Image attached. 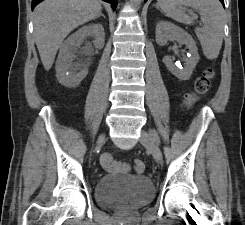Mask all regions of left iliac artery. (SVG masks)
I'll use <instances>...</instances> for the list:
<instances>
[{"mask_svg": "<svg viewBox=\"0 0 245 225\" xmlns=\"http://www.w3.org/2000/svg\"><path fill=\"white\" fill-rule=\"evenodd\" d=\"M155 141H157V142H158L157 138H155Z\"/></svg>", "mask_w": 245, "mask_h": 225, "instance_id": "left-iliac-artery-1", "label": "left iliac artery"}]
</instances>
